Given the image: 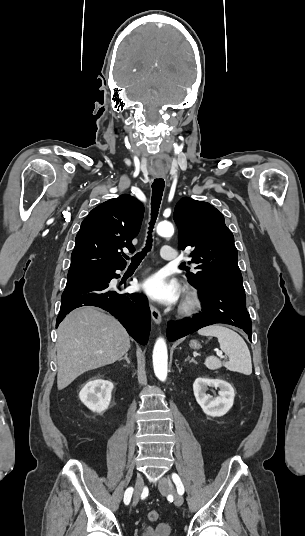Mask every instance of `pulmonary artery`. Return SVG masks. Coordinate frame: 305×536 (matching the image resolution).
Segmentation results:
<instances>
[{
	"label": "pulmonary artery",
	"mask_w": 305,
	"mask_h": 536,
	"mask_svg": "<svg viewBox=\"0 0 305 536\" xmlns=\"http://www.w3.org/2000/svg\"><path fill=\"white\" fill-rule=\"evenodd\" d=\"M160 251V257L162 260L168 261L169 263H174L176 261V256L172 254L175 251V248L173 246L164 244L161 246Z\"/></svg>",
	"instance_id": "e3ab8cb5"
}]
</instances>
